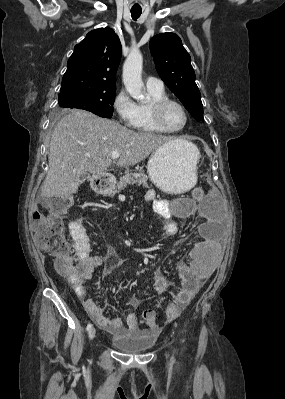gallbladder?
Here are the masks:
<instances>
[{
    "instance_id": "obj_1",
    "label": "gallbladder",
    "mask_w": 285,
    "mask_h": 399,
    "mask_svg": "<svg viewBox=\"0 0 285 399\" xmlns=\"http://www.w3.org/2000/svg\"><path fill=\"white\" fill-rule=\"evenodd\" d=\"M90 176L89 174H83L80 178V182L83 183L85 180H89Z\"/></svg>"
}]
</instances>
